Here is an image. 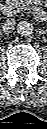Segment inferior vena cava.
<instances>
[{
	"label": "inferior vena cava",
	"instance_id": "obj_1",
	"mask_svg": "<svg viewBox=\"0 0 47 129\" xmlns=\"http://www.w3.org/2000/svg\"><path fill=\"white\" fill-rule=\"evenodd\" d=\"M15 24L16 21L14 19H8L3 26L4 32L11 33L14 30Z\"/></svg>",
	"mask_w": 47,
	"mask_h": 129
}]
</instances>
